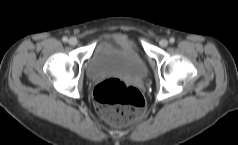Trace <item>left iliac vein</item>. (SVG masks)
<instances>
[{"instance_id":"4c4485c4","label":"left iliac vein","mask_w":238,"mask_h":145,"mask_svg":"<svg viewBox=\"0 0 238 145\" xmlns=\"http://www.w3.org/2000/svg\"><path fill=\"white\" fill-rule=\"evenodd\" d=\"M159 44L161 47H166L168 45V41L166 39H161Z\"/></svg>"}]
</instances>
